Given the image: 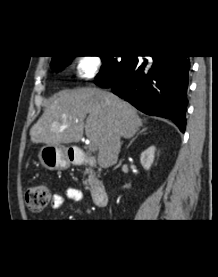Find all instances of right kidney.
Returning a JSON list of instances; mask_svg holds the SVG:
<instances>
[{
    "label": "right kidney",
    "mask_w": 218,
    "mask_h": 277,
    "mask_svg": "<svg viewBox=\"0 0 218 277\" xmlns=\"http://www.w3.org/2000/svg\"><path fill=\"white\" fill-rule=\"evenodd\" d=\"M155 147L151 146L141 153L140 162L145 170H149L154 161Z\"/></svg>",
    "instance_id": "ca27d5eb"
}]
</instances>
